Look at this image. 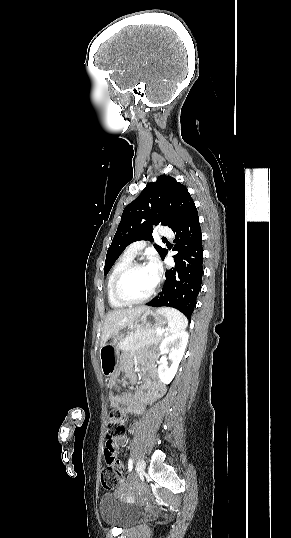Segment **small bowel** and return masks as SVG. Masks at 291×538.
I'll list each match as a JSON object with an SVG mask.
<instances>
[{"label":"small bowel","mask_w":291,"mask_h":538,"mask_svg":"<svg viewBox=\"0 0 291 538\" xmlns=\"http://www.w3.org/2000/svg\"><path fill=\"white\" fill-rule=\"evenodd\" d=\"M121 370L131 382L135 381V376L131 370V361L127 355L122 357ZM144 375V384L134 393L122 392L118 386V376H112L108 380L110 405L118 409L123 415L142 414L144 411L143 403L154 397L155 390L159 384L158 376L154 370L147 369L144 371ZM116 442L118 445H124L126 443L125 436L121 435Z\"/></svg>","instance_id":"c3829d8e"}]
</instances>
